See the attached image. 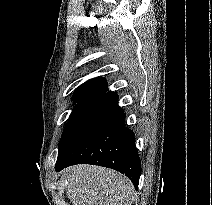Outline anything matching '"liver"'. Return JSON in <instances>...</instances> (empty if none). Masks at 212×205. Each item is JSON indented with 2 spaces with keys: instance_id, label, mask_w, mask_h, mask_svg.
Masks as SVG:
<instances>
[{
  "instance_id": "1",
  "label": "liver",
  "mask_w": 212,
  "mask_h": 205,
  "mask_svg": "<svg viewBox=\"0 0 212 205\" xmlns=\"http://www.w3.org/2000/svg\"><path fill=\"white\" fill-rule=\"evenodd\" d=\"M64 176L73 205H131L134 198L130 180L112 169L77 165L66 168Z\"/></svg>"
}]
</instances>
